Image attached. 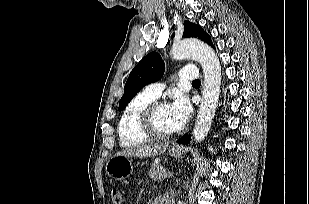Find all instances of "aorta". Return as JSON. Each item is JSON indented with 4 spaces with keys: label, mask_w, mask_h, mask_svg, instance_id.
Returning <instances> with one entry per match:
<instances>
[{
    "label": "aorta",
    "mask_w": 309,
    "mask_h": 204,
    "mask_svg": "<svg viewBox=\"0 0 309 204\" xmlns=\"http://www.w3.org/2000/svg\"><path fill=\"white\" fill-rule=\"evenodd\" d=\"M171 55L175 60L192 58L198 61L203 69L204 85L202 100L193 129L194 140L200 143L210 130L218 106L221 86L220 62L210 46L192 39L175 43L172 47Z\"/></svg>",
    "instance_id": "762f6f07"
}]
</instances>
